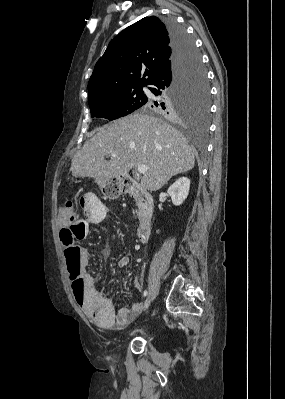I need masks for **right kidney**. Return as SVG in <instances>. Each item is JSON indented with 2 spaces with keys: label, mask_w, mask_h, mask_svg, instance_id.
Returning a JSON list of instances; mask_svg holds the SVG:
<instances>
[{
  "label": "right kidney",
  "mask_w": 285,
  "mask_h": 399,
  "mask_svg": "<svg viewBox=\"0 0 285 399\" xmlns=\"http://www.w3.org/2000/svg\"><path fill=\"white\" fill-rule=\"evenodd\" d=\"M190 189V180L181 177L173 183L167 190L175 206H179L187 198Z\"/></svg>",
  "instance_id": "ca27d5eb"
}]
</instances>
